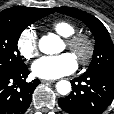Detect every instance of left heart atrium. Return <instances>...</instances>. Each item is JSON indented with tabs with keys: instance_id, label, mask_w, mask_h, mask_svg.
<instances>
[{
	"instance_id": "left-heart-atrium-1",
	"label": "left heart atrium",
	"mask_w": 114,
	"mask_h": 114,
	"mask_svg": "<svg viewBox=\"0 0 114 114\" xmlns=\"http://www.w3.org/2000/svg\"><path fill=\"white\" fill-rule=\"evenodd\" d=\"M32 72L42 79H56L69 75L77 69V61L70 53L44 56L32 64Z\"/></svg>"
}]
</instances>
